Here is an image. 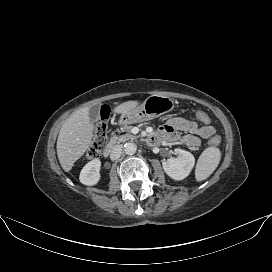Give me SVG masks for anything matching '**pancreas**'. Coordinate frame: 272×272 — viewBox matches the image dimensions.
<instances>
[{
  "instance_id": "1",
  "label": "pancreas",
  "mask_w": 272,
  "mask_h": 272,
  "mask_svg": "<svg viewBox=\"0 0 272 272\" xmlns=\"http://www.w3.org/2000/svg\"><path fill=\"white\" fill-rule=\"evenodd\" d=\"M130 130H131V126L124 125L123 127H121V131L122 132L125 131L126 134L120 135V136H116L115 134H112L110 142L112 144H115V143L125 142L128 139H136V138H138V137L132 135L131 132H130Z\"/></svg>"
}]
</instances>
